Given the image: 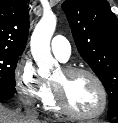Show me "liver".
Here are the masks:
<instances>
[{
  "mask_svg": "<svg viewBox=\"0 0 118 123\" xmlns=\"http://www.w3.org/2000/svg\"><path fill=\"white\" fill-rule=\"evenodd\" d=\"M0 123H47V121L30 119L19 110H10L0 103Z\"/></svg>",
  "mask_w": 118,
  "mask_h": 123,
  "instance_id": "1",
  "label": "liver"
}]
</instances>
